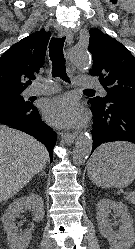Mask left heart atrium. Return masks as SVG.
Wrapping results in <instances>:
<instances>
[{
	"label": "left heart atrium",
	"mask_w": 135,
	"mask_h": 249,
	"mask_svg": "<svg viewBox=\"0 0 135 249\" xmlns=\"http://www.w3.org/2000/svg\"><path fill=\"white\" fill-rule=\"evenodd\" d=\"M44 115L58 127L78 126L84 121V111L78 100L72 95H63L49 99L44 105Z\"/></svg>",
	"instance_id": "obj_1"
}]
</instances>
